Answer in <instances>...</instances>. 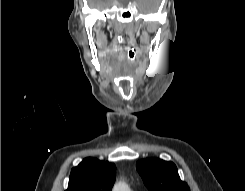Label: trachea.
<instances>
[{
    "label": "trachea",
    "mask_w": 245,
    "mask_h": 191,
    "mask_svg": "<svg viewBox=\"0 0 245 191\" xmlns=\"http://www.w3.org/2000/svg\"><path fill=\"white\" fill-rule=\"evenodd\" d=\"M127 58L130 62L135 61L136 59V52L133 49H129L127 51Z\"/></svg>",
    "instance_id": "obj_1"
}]
</instances>
